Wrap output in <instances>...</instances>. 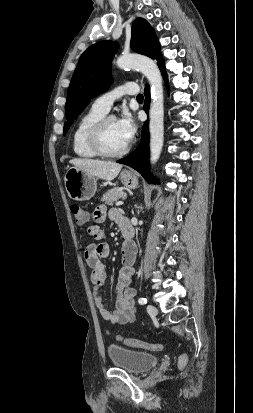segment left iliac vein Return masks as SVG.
Listing matches in <instances>:
<instances>
[{
	"mask_svg": "<svg viewBox=\"0 0 253 413\" xmlns=\"http://www.w3.org/2000/svg\"><path fill=\"white\" fill-rule=\"evenodd\" d=\"M147 311L151 316H156L158 313L157 308L150 304L147 306Z\"/></svg>",
	"mask_w": 253,
	"mask_h": 413,
	"instance_id": "left-iliac-vein-1",
	"label": "left iliac vein"
}]
</instances>
